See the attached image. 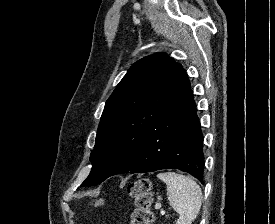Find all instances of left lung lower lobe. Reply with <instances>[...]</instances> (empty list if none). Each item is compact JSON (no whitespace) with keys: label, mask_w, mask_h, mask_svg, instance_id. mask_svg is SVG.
Instances as JSON below:
<instances>
[{"label":"left lung lower lobe","mask_w":275,"mask_h":224,"mask_svg":"<svg viewBox=\"0 0 275 224\" xmlns=\"http://www.w3.org/2000/svg\"><path fill=\"white\" fill-rule=\"evenodd\" d=\"M179 169L203 183V134L191 88L166 113L127 172Z\"/></svg>","instance_id":"0a47b994"}]
</instances>
